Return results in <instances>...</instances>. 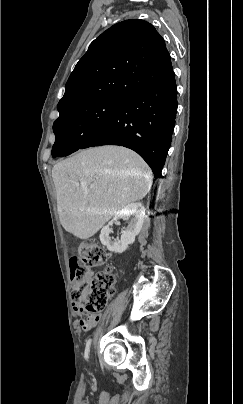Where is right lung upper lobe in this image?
I'll list each match as a JSON object with an SVG mask.
<instances>
[{
	"mask_svg": "<svg viewBox=\"0 0 243 404\" xmlns=\"http://www.w3.org/2000/svg\"><path fill=\"white\" fill-rule=\"evenodd\" d=\"M173 71L163 38L144 20L117 23L89 46L71 73L57 105L61 114L80 104L127 99Z\"/></svg>",
	"mask_w": 243,
	"mask_h": 404,
	"instance_id": "cb5924a9",
	"label": "right lung upper lobe"
}]
</instances>
